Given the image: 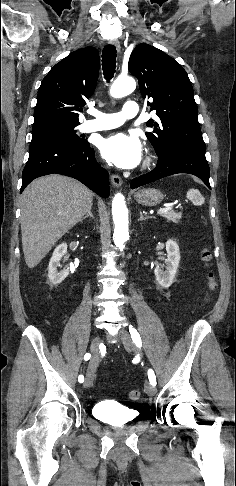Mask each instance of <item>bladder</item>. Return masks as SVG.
I'll return each mask as SVG.
<instances>
[{"instance_id": "31cf9c89", "label": "bladder", "mask_w": 236, "mask_h": 486, "mask_svg": "<svg viewBox=\"0 0 236 486\" xmlns=\"http://www.w3.org/2000/svg\"><path fill=\"white\" fill-rule=\"evenodd\" d=\"M97 419L112 425H125L137 418V412L112 401H99L93 406Z\"/></svg>"}]
</instances>
